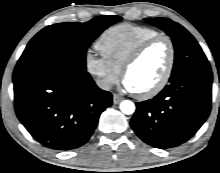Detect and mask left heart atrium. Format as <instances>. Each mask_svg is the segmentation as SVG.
I'll list each match as a JSON object with an SVG mask.
<instances>
[{"label": "left heart atrium", "mask_w": 220, "mask_h": 173, "mask_svg": "<svg viewBox=\"0 0 220 173\" xmlns=\"http://www.w3.org/2000/svg\"><path fill=\"white\" fill-rule=\"evenodd\" d=\"M124 87H125L126 89H128V90L133 91L132 88H131V86L129 85V83H128L126 80L124 81Z\"/></svg>", "instance_id": "39dd6f15"}]
</instances>
